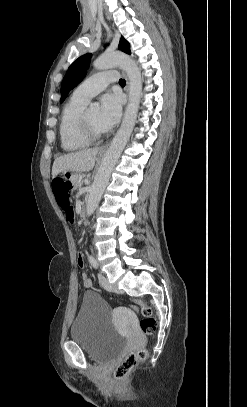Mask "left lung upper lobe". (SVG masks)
Instances as JSON below:
<instances>
[{
    "instance_id": "left-lung-upper-lobe-1",
    "label": "left lung upper lobe",
    "mask_w": 247,
    "mask_h": 407,
    "mask_svg": "<svg viewBox=\"0 0 247 407\" xmlns=\"http://www.w3.org/2000/svg\"><path fill=\"white\" fill-rule=\"evenodd\" d=\"M119 49L127 54L131 53L130 45L124 38H121L120 40ZM91 56L92 54L90 53L85 54L70 65L62 81L60 103L66 99L68 93L85 77L87 69L89 68Z\"/></svg>"
}]
</instances>
